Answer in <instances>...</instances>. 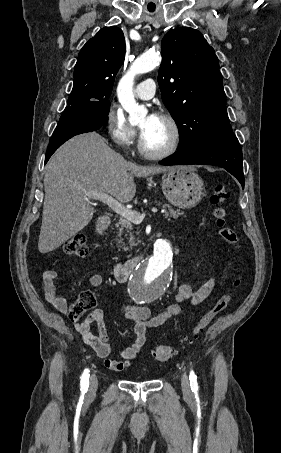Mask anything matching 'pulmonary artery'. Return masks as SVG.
Wrapping results in <instances>:
<instances>
[{"instance_id":"e3ab8cb5","label":"pulmonary artery","mask_w":281,"mask_h":453,"mask_svg":"<svg viewBox=\"0 0 281 453\" xmlns=\"http://www.w3.org/2000/svg\"><path fill=\"white\" fill-rule=\"evenodd\" d=\"M150 86H155V81L153 79H146L140 82L134 90L135 96L141 99H151L154 95V91L145 90Z\"/></svg>"}]
</instances>
